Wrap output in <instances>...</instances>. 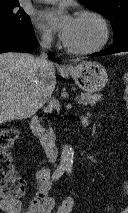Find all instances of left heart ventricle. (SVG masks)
Returning a JSON list of instances; mask_svg holds the SVG:
<instances>
[{
  "label": "left heart ventricle",
  "mask_w": 128,
  "mask_h": 213,
  "mask_svg": "<svg viewBox=\"0 0 128 213\" xmlns=\"http://www.w3.org/2000/svg\"><path fill=\"white\" fill-rule=\"evenodd\" d=\"M102 37L99 23L89 17L76 18L75 26L68 46L77 49L89 48L96 45Z\"/></svg>",
  "instance_id": "obj_1"
}]
</instances>
